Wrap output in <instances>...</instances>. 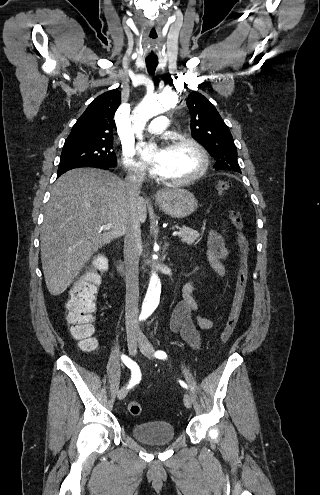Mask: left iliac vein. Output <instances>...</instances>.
<instances>
[{"instance_id": "4c4485c4", "label": "left iliac vein", "mask_w": 320, "mask_h": 495, "mask_svg": "<svg viewBox=\"0 0 320 495\" xmlns=\"http://www.w3.org/2000/svg\"><path fill=\"white\" fill-rule=\"evenodd\" d=\"M138 346L140 351L147 356L148 358L152 359L153 354H154V347L147 341L145 336L143 334L138 335ZM184 404L187 408H191L192 406V397L189 393H185L184 395Z\"/></svg>"}]
</instances>
